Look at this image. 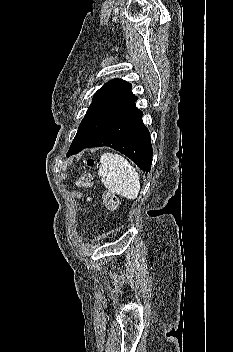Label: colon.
Returning a JSON list of instances; mask_svg holds the SVG:
<instances>
[{"instance_id": "colon-1", "label": "colon", "mask_w": 233, "mask_h": 352, "mask_svg": "<svg viewBox=\"0 0 233 352\" xmlns=\"http://www.w3.org/2000/svg\"><path fill=\"white\" fill-rule=\"evenodd\" d=\"M87 163L89 165L93 164V160H88ZM91 177L88 174H81L78 179H77V185L80 187H88L91 185ZM103 204L105 206V208L112 214L116 213L118 207H119V199L117 198V196L110 192V191H106L103 194Z\"/></svg>"}]
</instances>
